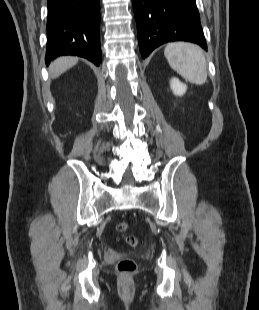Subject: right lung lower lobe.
Masks as SVG:
<instances>
[{
    "label": "right lung lower lobe",
    "mask_w": 259,
    "mask_h": 310,
    "mask_svg": "<svg viewBox=\"0 0 259 310\" xmlns=\"http://www.w3.org/2000/svg\"><path fill=\"white\" fill-rule=\"evenodd\" d=\"M45 62L62 55L84 57L99 66V0H48Z\"/></svg>",
    "instance_id": "right-lung-lower-lobe-1"
}]
</instances>
